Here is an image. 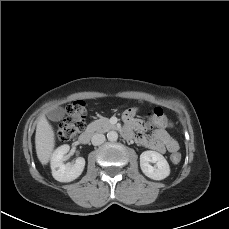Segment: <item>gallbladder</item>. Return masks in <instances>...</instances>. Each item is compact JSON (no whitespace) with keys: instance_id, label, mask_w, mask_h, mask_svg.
Returning <instances> with one entry per match:
<instances>
[{"instance_id":"gallbladder-1","label":"gallbladder","mask_w":229,"mask_h":229,"mask_svg":"<svg viewBox=\"0 0 229 229\" xmlns=\"http://www.w3.org/2000/svg\"><path fill=\"white\" fill-rule=\"evenodd\" d=\"M65 116V109L63 107H56L48 113L49 119L53 121H60Z\"/></svg>"}]
</instances>
